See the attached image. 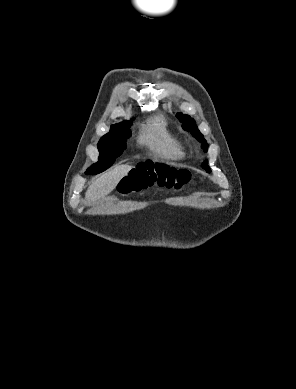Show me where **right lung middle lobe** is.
<instances>
[{
	"label": "right lung middle lobe",
	"mask_w": 296,
	"mask_h": 389,
	"mask_svg": "<svg viewBox=\"0 0 296 389\" xmlns=\"http://www.w3.org/2000/svg\"><path fill=\"white\" fill-rule=\"evenodd\" d=\"M131 123V121H124L111 126L110 132L104 135L98 143L100 152L99 161L89 168V170L97 174L113 164L115 159L126 148V140L131 136L129 129Z\"/></svg>",
	"instance_id": "1"
}]
</instances>
